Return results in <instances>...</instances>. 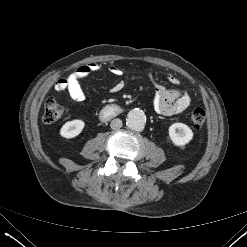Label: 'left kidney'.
<instances>
[{"label": "left kidney", "instance_id": "left-kidney-1", "mask_svg": "<svg viewBox=\"0 0 247 247\" xmlns=\"http://www.w3.org/2000/svg\"><path fill=\"white\" fill-rule=\"evenodd\" d=\"M169 137L175 146H185L193 138L192 130L183 123H174L169 127Z\"/></svg>", "mask_w": 247, "mask_h": 247}]
</instances>
